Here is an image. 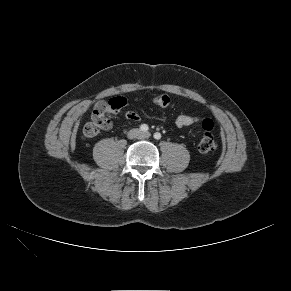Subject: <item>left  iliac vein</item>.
<instances>
[{
	"mask_svg": "<svg viewBox=\"0 0 291 291\" xmlns=\"http://www.w3.org/2000/svg\"><path fill=\"white\" fill-rule=\"evenodd\" d=\"M151 134L149 132L141 133L140 137L143 139L149 138Z\"/></svg>",
	"mask_w": 291,
	"mask_h": 291,
	"instance_id": "4c4485c4",
	"label": "left iliac vein"
}]
</instances>
